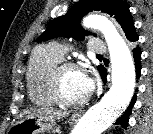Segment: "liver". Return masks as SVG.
<instances>
[{
	"label": "liver",
	"mask_w": 153,
	"mask_h": 134,
	"mask_svg": "<svg viewBox=\"0 0 153 134\" xmlns=\"http://www.w3.org/2000/svg\"><path fill=\"white\" fill-rule=\"evenodd\" d=\"M68 115L66 111L57 110L53 108H30L23 111L20 115L21 118H33L38 116L45 122L55 123L56 120H60Z\"/></svg>",
	"instance_id": "6515ba94"
}]
</instances>
